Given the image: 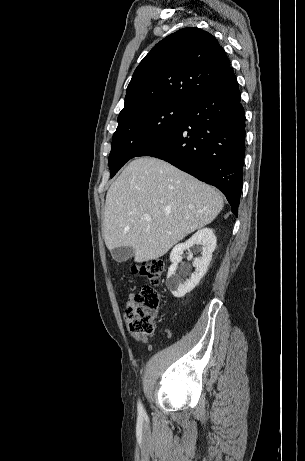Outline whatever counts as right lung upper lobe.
Instances as JSON below:
<instances>
[{"instance_id": "1", "label": "right lung upper lobe", "mask_w": 305, "mask_h": 461, "mask_svg": "<svg viewBox=\"0 0 305 461\" xmlns=\"http://www.w3.org/2000/svg\"><path fill=\"white\" fill-rule=\"evenodd\" d=\"M233 76L224 49L210 33L194 27L181 29L143 58L127 87L118 119L160 103L189 104Z\"/></svg>"}]
</instances>
